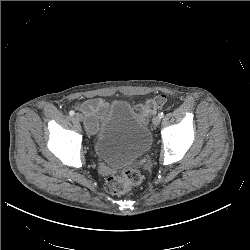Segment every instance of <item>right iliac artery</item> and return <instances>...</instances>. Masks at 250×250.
I'll use <instances>...</instances> for the list:
<instances>
[{
  "instance_id": "obj_1",
  "label": "right iliac artery",
  "mask_w": 250,
  "mask_h": 250,
  "mask_svg": "<svg viewBox=\"0 0 250 250\" xmlns=\"http://www.w3.org/2000/svg\"><path fill=\"white\" fill-rule=\"evenodd\" d=\"M75 114V112L73 111V110H71L70 112H69V115L70 116H73Z\"/></svg>"
}]
</instances>
